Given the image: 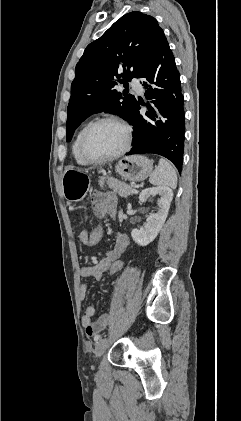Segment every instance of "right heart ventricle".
I'll list each match as a JSON object with an SVG mask.
<instances>
[{
  "mask_svg": "<svg viewBox=\"0 0 241 421\" xmlns=\"http://www.w3.org/2000/svg\"><path fill=\"white\" fill-rule=\"evenodd\" d=\"M88 124H89V123L84 124V125H83V126H82L79 130H78V132H77V134H76V136H75V138H74L73 144H72V154H73V157H74L75 161H76L79 165H88V164H89L87 161H85V160L82 158V156H81V154H80V151H79V141H80V137H81V134H82L83 130L86 128V126H87Z\"/></svg>",
  "mask_w": 241,
  "mask_h": 421,
  "instance_id": "e07e8e85",
  "label": "right heart ventricle"
}]
</instances>
